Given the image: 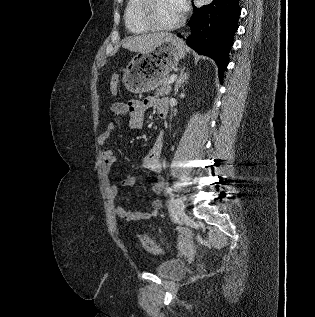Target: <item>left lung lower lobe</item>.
<instances>
[{
	"label": "left lung lower lobe",
	"instance_id": "obj_1",
	"mask_svg": "<svg viewBox=\"0 0 315 317\" xmlns=\"http://www.w3.org/2000/svg\"><path fill=\"white\" fill-rule=\"evenodd\" d=\"M240 13L239 0H213L202 8L194 6V14L188 22L191 35L186 39L187 45L215 60L221 82Z\"/></svg>",
	"mask_w": 315,
	"mask_h": 317
}]
</instances>
